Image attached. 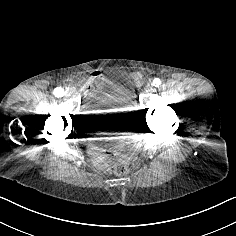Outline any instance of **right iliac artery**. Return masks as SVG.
I'll use <instances>...</instances> for the list:
<instances>
[{
    "instance_id": "right-iliac-artery-1",
    "label": "right iliac artery",
    "mask_w": 236,
    "mask_h": 236,
    "mask_svg": "<svg viewBox=\"0 0 236 236\" xmlns=\"http://www.w3.org/2000/svg\"><path fill=\"white\" fill-rule=\"evenodd\" d=\"M53 94L55 95V97L59 98L63 97L65 95V92L63 88L57 87L54 89Z\"/></svg>"
}]
</instances>
